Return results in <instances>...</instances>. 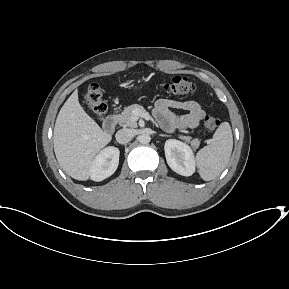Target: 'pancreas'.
<instances>
[{
  "label": "pancreas",
  "instance_id": "pancreas-1",
  "mask_svg": "<svg viewBox=\"0 0 289 289\" xmlns=\"http://www.w3.org/2000/svg\"><path fill=\"white\" fill-rule=\"evenodd\" d=\"M134 111H139L142 113L145 111V109L138 104H133L126 107L121 114L116 116V119L119 122V124L124 127H131V128L137 127L136 120L133 119ZM180 138L190 143L193 148H197L200 144V141L198 139L191 140L190 136H180Z\"/></svg>",
  "mask_w": 289,
  "mask_h": 289
}]
</instances>
